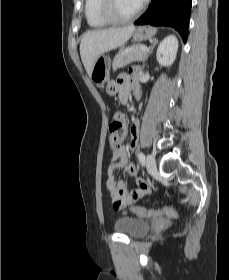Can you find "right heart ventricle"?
<instances>
[{
	"instance_id": "right-heart-ventricle-1",
	"label": "right heart ventricle",
	"mask_w": 229,
	"mask_h": 280,
	"mask_svg": "<svg viewBox=\"0 0 229 280\" xmlns=\"http://www.w3.org/2000/svg\"><path fill=\"white\" fill-rule=\"evenodd\" d=\"M101 0H85L84 14L88 25L95 29L105 28L110 25L99 13Z\"/></svg>"
}]
</instances>
